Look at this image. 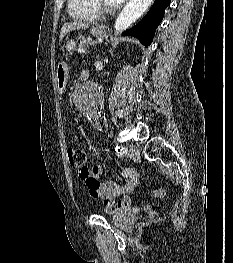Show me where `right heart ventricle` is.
Instances as JSON below:
<instances>
[{
	"instance_id": "obj_1",
	"label": "right heart ventricle",
	"mask_w": 233,
	"mask_h": 263,
	"mask_svg": "<svg viewBox=\"0 0 233 263\" xmlns=\"http://www.w3.org/2000/svg\"><path fill=\"white\" fill-rule=\"evenodd\" d=\"M68 9L70 15L78 20L91 21L99 15L92 0H68Z\"/></svg>"
}]
</instances>
